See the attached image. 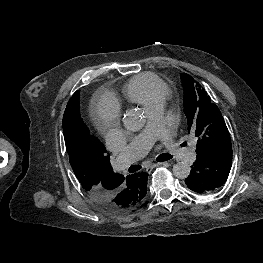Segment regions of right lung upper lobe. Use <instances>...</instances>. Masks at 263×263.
Here are the masks:
<instances>
[{
    "instance_id": "cb5924a9",
    "label": "right lung upper lobe",
    "mask_w": 263,
    "mask_h": 263,
    "mask_svg": "<svg viewBox=\"0 0 263 263\" xmlns=\"http://www.w3.org/2000/svg\"><path fill=\"white\" fill-rule=\"evenodd\" d=\"M73 96L71 97L70 100H72ZM63 134L65 139L66 150L69 155V161L76 175L77 171L75 165L76 164L75 156L79 149V145H78L79 138L71 130L65 128L64 126H63ZM90 139H91V145L89 146L93 147L92 153L95 155V158L97 160V173H96L97 184L90 191V194H103V193L112 192L114 191V188L112 187L113 184H115L118 181H122V183L124 184L131 175L124 177L123 175L114 173L110 165V158L106 154V149L104 145L96 137L92 135H90ZM76 177L78 178L77 175ZM127 193L129 194V201L124 207L120 209L119 212H127L137 207L140 204L141 200L146 195V188L129 183L127 186Z\"/></svg>"
}]
</instances>
